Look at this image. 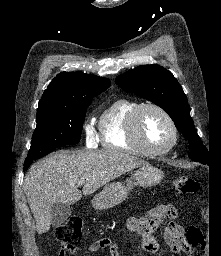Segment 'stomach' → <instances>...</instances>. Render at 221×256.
<instances>
[{
    "mask_svg": "<svg viewBox=\"0 0 221 256\" xmlns=\"http://www.w3.org/2000/svg\"><path fill=\"white\" fill-rule=\"evenodd\" d=\"M162 179V170L149 164L141 166L126 180V183L113 182L107 184L100 193L94 196L92 206L96 210L114 207L125 200L135 186H155Z\"/></svg>",
    "mask_w": 221,
    "mask_h": 256,
    "instance_id": "0dacf381",
    "label": "stomach"
}]
</instances>
